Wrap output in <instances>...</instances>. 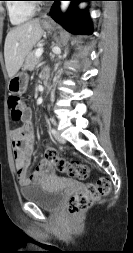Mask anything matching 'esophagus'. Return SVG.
<instances>
[{
	"label": "esophagus",
	"instance_id": "34e87169",
	"mask_svg": "<svg viewBox=\"0 0 133 253\" xmlns=\"http://www.w3.org/2000/svg\"><path fill=\"white\" fill-rule=\"evenodd\" d=\"M44 19H48V17H47V16H45V17H44Z\"/></svg>",
	"mask_w": 133,
	"mask_h": 253
}]
</instances>
